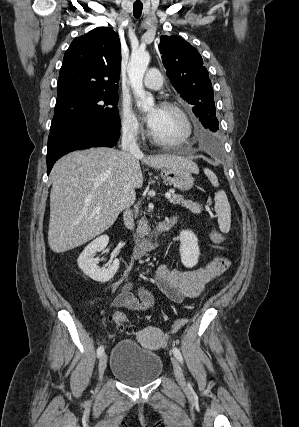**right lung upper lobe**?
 Returning a JSON list of instances; mask_svg holds the SVG:
<instances>
[{
	"label": "right lung upper lobe",
	"mask_w": 299,
	"mask_h": 427,
	"mask_svg": "<svg viewBox=\"0 0 299 427\" xmlns=\"http://www.w3.org/2000/svg\"><path fill=\"white\" fill-rule=\"evenodd\" d=\"M120 40L100 27L75 38L65 52L57 83V100L87 92L118 90Z\"/></svg>",
	"instance_id": "right-lung-upper-lobe-1"
}]
</instances>
